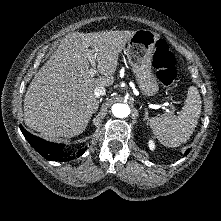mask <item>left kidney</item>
<instances>
[{
  "label": "left kidney",
  "instance_id": "obj_1",
  "mask_svg": "<svg viewBox=\"0 0 221 221\" xmlns=\"http://www.w3.org/2000/svg\"><path fill=\"white\" fill-rule=\"evenodd\" d=\"M148 146H149L150 150H152V151L155 150L156 145H155L154 140L150 139L148 142Z\"/></svg>",
  "mask_w": 221,
  "mask_h": 221
}]
</instances>
